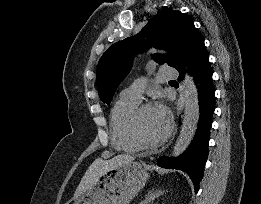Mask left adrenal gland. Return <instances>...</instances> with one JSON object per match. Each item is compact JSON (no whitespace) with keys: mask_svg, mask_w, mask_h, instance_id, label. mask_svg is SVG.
Here are the masks:
<instances>
[{"mask_svg":"<svg viewBox=\"0 0 261 204\" xmlns=\"http://www.w3.org/2000/svg\"><path fill=\"white\" fill-rule=\"evenodd\" d=\"M164 191H155L151 190L145 195V199L140 204H151L155 200V198L159 197L163 194Z\"/></svg>","mask_w":261,"mask_h":204,"instance_id":"left-adrenal-gland-1","label":"left adrenal gland"}]
</instances>
